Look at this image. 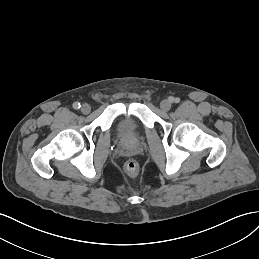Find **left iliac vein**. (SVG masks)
<instances>
[{"label":"left iliac vein","instance_id":"4c4485c4","mask_svg":"<svg viewBox=\"0 0 259 259\" xmlns=\"http://www.w3.org/2000/svg\"><path fill=\"white\" fill-rule=\"evenodd\" d=\"M160 108L163 110V111H168L170 110L171 108V102L167 99H164L161 101L160 103Z\"/></svg>","mask_w":259,"mask_h":259}]
</instances>
